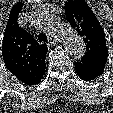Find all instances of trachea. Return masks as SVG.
<instances>
[{"instance_id":"1","label":"trachea","mask_w":113,"mask_h":113,"mask_svg":"<svg viewBox=\"0 0 113 113\" xmlns=\"http://www.w3.org/2000/svg\"><path fill=\"white\" fill-rule=\"evenodd\" d=\"M38 40H39V42H47L48 38L44 33H40L38 35Z\"/></svg>"}]
</instances>
